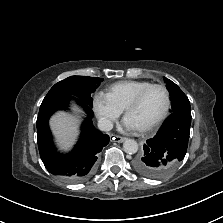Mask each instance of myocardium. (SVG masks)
I'll use <instances>...</instances> for the list:
<instances>
[{
	"mask_svg": "<svg viewBox=\"0 0 223 223\" xmlns=\"http://www.w3.org/2000/svg\"><path fill=\"white\" fill-rule=\"evenodd\" d=\"M153 88H160L165 92L166 95V106L165 109L163 111V113L161 114V116L154 121L152 124L145 126V127H141V128H137L136 130L140 133H146L149 131L154 130L155 128H157L168 116V113L170 111V107H171V95L169 90L167 89V87H165L162 84H151L147 87H145L144 89H142L130 102L129 104L125 107L124 109V114L125 116H127V114L132 111L134 108H136L139 103L141 102V100L143 99V97Z\"/></svg>",
	"mask_w": 223,
	"mask_h": 223,
	"instance_id": "myocardium-1",
	"label": "myocardium"
}]
</instances>
